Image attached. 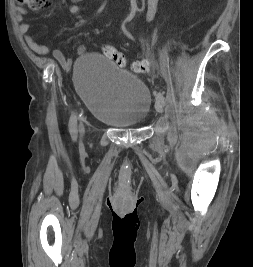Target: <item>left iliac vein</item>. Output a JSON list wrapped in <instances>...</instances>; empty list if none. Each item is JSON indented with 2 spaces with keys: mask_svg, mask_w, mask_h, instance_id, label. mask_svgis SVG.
Here are the masks:
<instances>
[{
  "mask_svg": "<svg viewBox=\"0 0 253 267\" xmlns=\"http://www.w3.org/2000/svg\"><path fill=\"white\" fill-rule=\"evenodd\" d=\"M155 108H156V111L158 113H162L163 112V105H162V103L160 101L156 102Z\"/></svg>",
  "mask_w": 253,
  "mask_h": 267,
  "instance_id": "1",
  "label": "left iliac vein"
}]
</instances>
